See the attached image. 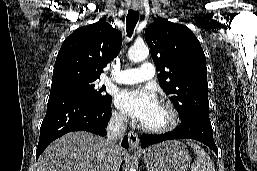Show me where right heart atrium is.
<instances>
[{
	"label": "right heart atrium",
	"mask_w": 257,
	"mask_h": 171,
	"mask_svg": "<svg viewBox=\"0 0 257 171\" xmlns=\"http://www.w3.org/2000/svg\"><path fill=\"white\" fill-rule=\"evenodd\" d=\"M112 120L120 126H123L127 123L126 115L118 110L113 111Z\"/></svg>",
	"instance_id": "obj_1"
}]
</instances>
